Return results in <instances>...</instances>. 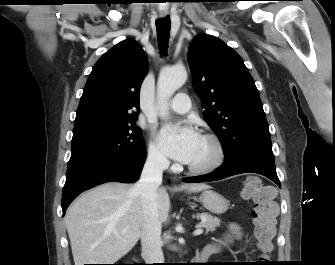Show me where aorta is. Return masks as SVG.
Listing matches in <instances>:
<instances>
[{"mask_svg": "<svg viewBox=\"0 0 335 265\" xmlns=\"http://www.w3.org/2000/svg\"><path fill=\"white\" fill-rule=\"evenodd\" d=\"M187 71L184 67H172L160 72L157 82V101L159 115L162 118L167 116L168 101L172 95L185 83Z\"/></svg>", "mask_w": 335, "mask_h": 265, "instance_id": "1", "label": "aorta"}]
</instances>
